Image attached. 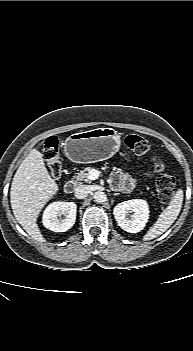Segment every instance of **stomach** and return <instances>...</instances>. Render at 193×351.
<instances>
[{
    "mask_svg": "<svg viewBox=\"0 0 193 351\" xmlns=\"http://www.w3.org/2000/svg\"><path fill=\"white\" fill-rule=\"evenodd\" d=\"M120 145V135L116 130L97 128L70 135L65 141L64 151L71 161L89 164L112 157Z\"/></svg>",
    "mask_w": 193,
    "mask_h": 351,
    "instance_id": "stomach-1",
    "label": "stomach"
}]
</instances>
